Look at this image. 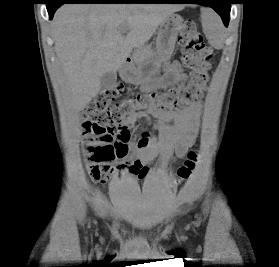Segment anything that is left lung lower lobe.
<instances>
[{"instance_id": "1", "label": "left lung lower lobe", "mask_w": 279, "mask_h": 267, "mask_svg": "<svg viewBox=\"0 0 279 267\" xmlns=\"http://www.w3.org/2000/svg\"><path fill=\"white\" fill-rule=\"evenodd\" d=\"M156 3H200L213 8L228 26L231 0H158Z\"/></svg>"}]
</instances>
